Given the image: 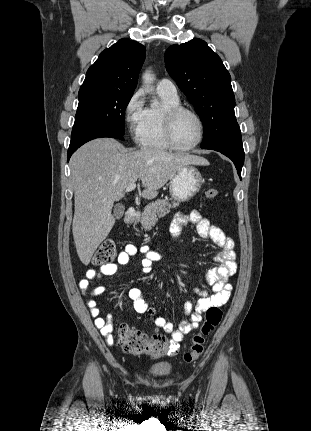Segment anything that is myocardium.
<instances>
[{
	"mask_svg": "<svg viewBox=\"0 0 311 431\" xmlns=\"http://www.w3.org/2000/svg\"><path fill=\"white\" fill-rule=\"evenodd\" d=\"M191 113L194 116H196V118L198 119L199 123H200V127H201V133L200 136L198 138V140L190 145V146H180L175 138V124L176 121L178 119V117L182 114V113ZM163 130H164V134H165V139L167 140V142L169 143V145L176 149V150H180V151H188V150H192L196 147H198L201 142L204 139V136L206 135V123L204 118L202 117V115L195 109L191 108V107H187V106H183V105H178V106H174L169 108L164 115V120H163Z\"/></svg>",
	"mask_w": 311,
	"mask_h": 431,
	"instance_id": "1",
	"label": "myocardium"
}]
</instances>
